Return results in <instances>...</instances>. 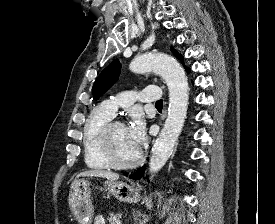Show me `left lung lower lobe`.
<instances>
[{
	"instance_id": "obj_1",
	"label": "left lung lower lobe",
	"mask_w": 275,
	"mask_h": 224,
	"mask_svg": "<svg viewBox=\"0 0 275 224\" xmlns=\"http://www.w3.org/2000/svg\"><path fill=\"white\" fill-rule=\"evenodd\" d=\"M187 72H189V70ZM144 170H145V166L139 168L135 173L131 174L129 178L134 180L140 179L144 173Z\"/></svg>"
}]
</instances>
